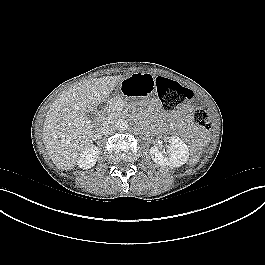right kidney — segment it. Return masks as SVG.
<instances>
[{
	"label": "right kidney",
	"mask_w": 265,
	"mask_h": 265,
	"mask_svg": "<svg viewBox=\"0 0 265 265\" xmlns=\"http://www.w3.org/2000/svg\"><path fill=\"white\" fill-rule=\"evenodd\" d=\"M98 156V148L94 145H91L80 154V156L78 157L77 165L83 170L90 169L96 164Z\"/></svg>",
	"instance_id": "1"
}]
</instances>
